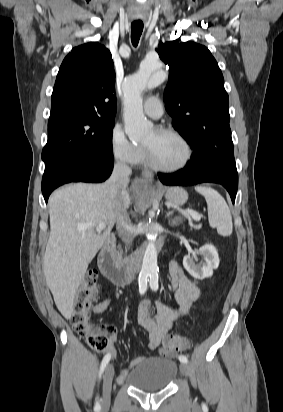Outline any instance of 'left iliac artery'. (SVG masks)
<instances>
[{"label": "left iliac artery", "mask_w": 283, "mask_h": 412, "mask_svg": "<svg viewBox=\"0 0 283 412\" xmlns=\"http://www.w3.org/2000/svg\"><path fill=\"white\" fill-rule=\"evenodd\" d=\"M158 275H156V274H150V287L153 289V290H157L158 289ZM179 360H180V362H182V363H187L188 362V359H187V357L186 356H184V355H180L179 356Z\"/></svg>", "instance_id": "1"}]
</instances>
